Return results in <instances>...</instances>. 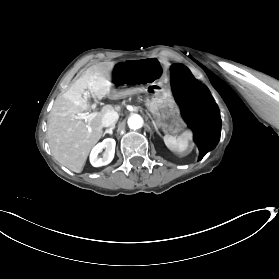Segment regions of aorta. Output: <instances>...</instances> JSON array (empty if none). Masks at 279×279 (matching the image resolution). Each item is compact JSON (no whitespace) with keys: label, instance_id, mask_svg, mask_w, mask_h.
<instances>
[{"label":"aorta","instance_id":"1","mask_svg":"<svg viewBox=\"0 0 279 279\" xmlns=\"http://www.w3.org/2000/svg\"><path fill=\"white\" fill-rule=\"evenodd\" d=\"M143 120L140 115L134 114L128 119V126L130 129L136 130L141 128Z\"/></svg>","mask_w":279,"mask_h":279}]
</instances>
